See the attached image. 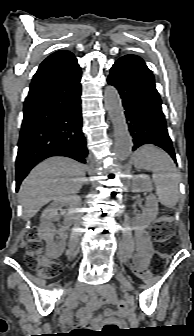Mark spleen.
I'll return each instance as SVG.
<instances>
[{
  "label": "spleen",
  "mask_w": 194,
  "mask_h": 336,
  "mask_svg": "<svg viewBox=\"0 0 194 336\" xmlns=\"http://www.w3.org/2000/svg\"><path fill=\"white\" fill-rule=\"evenodd\" d=\"M133 162L137 169L153 172V182L160 203L174 208L179 198V175L170 156L155 146L144 145L134 153Z\"/></svg>",
  "instance_id": "spleen-1"
}]
</instances>
